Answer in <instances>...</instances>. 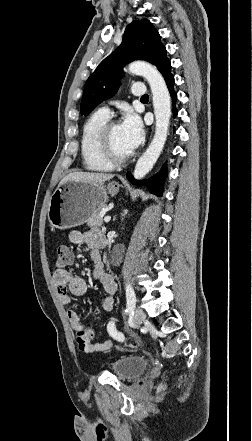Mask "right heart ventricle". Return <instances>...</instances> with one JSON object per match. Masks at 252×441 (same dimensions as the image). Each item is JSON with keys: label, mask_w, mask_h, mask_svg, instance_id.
Instances as JSON below:
<instances>
[{"label": "right heart ventricle", "mask_w": 252, "mask_h": 441, "mask_svg": "<svg viewBox=\"0 0 252 441\" xmlns=\"http://www.w3.org/2000/svg\"><path fill=\"white\" fill-rule=\"evenodd\" d=\"M109 117L99 111L93 113L84 123L80 140L82 164L85 170L91 172H108L113 169L99 155L97 136Z\"/></svg>", "instance_id": "e07e8e85"}]
</instances>
